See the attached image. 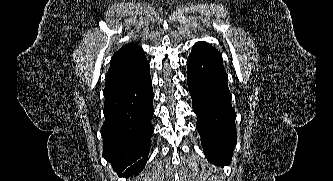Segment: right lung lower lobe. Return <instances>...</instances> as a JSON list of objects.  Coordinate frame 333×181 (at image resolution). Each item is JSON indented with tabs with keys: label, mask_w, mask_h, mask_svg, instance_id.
<instances>
[{
	"label": "right lung lower lobe",
	"mask_w": 333,
	"mask_h": 181,
	"mask_svg": "<svg viewBox=\"0 0 333 181\" xmlns=\"http://www.w3.org/2000/svg\"><path fill=\"white\" fill-rule=\"evenodd\" d=\"M104 97L103 156L120 177L137 175L147 162L153 133L151 76L147 73Z\"/></svg>",
	"instance_id": "1"
}]
</instances>
